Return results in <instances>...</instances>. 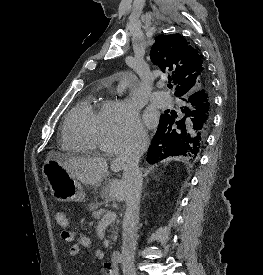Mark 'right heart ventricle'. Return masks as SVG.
Instances as JSON below:
<instances>
[{
	"label": "right heart ventricle",
	"instance_id": "e07e8e85",
	"mask_svg": "<svg viewBox=\"0 0 263 275\" xmlns=\"http://www.w3.org/2000/svg\"><path fill=\"white\" fill-rule=\"evenodd\" d=\"M105 104L97 105L87 97L67 114L62 128V147L73 153H90L102 149Z\"/></svg>",
	"mask_w": 263,
	"mask_h": 275
}]
</instances>
